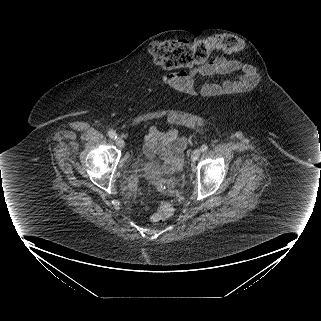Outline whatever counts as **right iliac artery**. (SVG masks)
<instances>
[{
    "instance_id": "obj_1",
    "label": "right iliac artery",
    "mask_w": 321,
    "mask_h": 321,
    "mask_svg": "<svg viewBox=\"0 0 321 321\" xmlns=\"http://www.w3.org/2000/svg\"><path fill=\"white\" fill-rule=\"evenodd\" d=\"M108 135H109V137L112 138V139H116V137H117L116 134H115V132L112 131V130L108 131Z\"/></svg>"
}]
</instances>
